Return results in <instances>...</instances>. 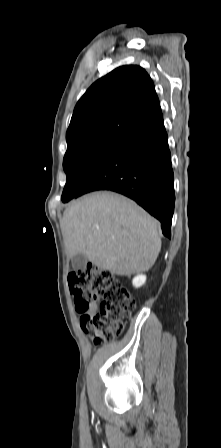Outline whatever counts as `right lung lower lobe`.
Listing matches in <instances>:
<instances>
[{"instance_id": "obj_1", "label": "right lung lower lobe", "mask_w": 221, "mask_h": 448, "mask_svg": "<svg viewBox=\"0 0 221 448\" xmlns=\"http://www.w3.org/2000/svg\"><path fill=\"white\" fill-rule=\"evenodd\" d=\"M162 112L126 132L87 180L80 195L96 190L121 193L161 222L171 238L174 187Z\"/></svg>"}]
</instances>
